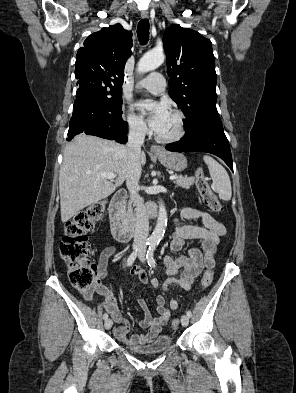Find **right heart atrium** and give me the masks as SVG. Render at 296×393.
I'll list each match as a JSON object with an SVG mask.
<instances>
[{"label": "right heart atrium", "mask_w": 296, "mask_h": 393, "mask_svg": "<svg viewBox=\"0 0 296 393\" xmlns=\"http://www.w3.org/2000/svg\"><path fill=\"white\" fill-rule=\"evenodd\" d=\"M127 123L129 130L137 136H144L148 132L143 119L133 113L127 114Z\"/></svg>", "instance_id": "right-heart-atrium-1"}]
</instances>
